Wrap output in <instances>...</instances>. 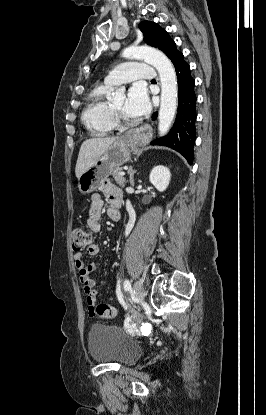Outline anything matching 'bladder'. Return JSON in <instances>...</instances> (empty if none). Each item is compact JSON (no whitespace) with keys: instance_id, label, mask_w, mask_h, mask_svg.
<instances>
[{"instance_id":"31cf9c89","label":"bladder","mask_w":266,"mask_h":415,"mask_svg":"<svg viewBox=\"0 0 266 415\" xmlns=\"http://www.w3.org/2000/svg\"><path fill=\"white\" fill-rule=\"evenodd\" d=\"M88 352L97 363L129 365L142 356L141 346L115 326L94 324L88 336Z\"/></svg>"}]
</instances>
